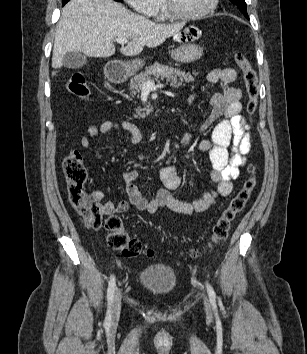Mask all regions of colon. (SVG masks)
<instances>
[{"label":"colon","mask_w":307,"mask_h":354,"mask_svg":"<svg viewBox=\"0 0 307 354\" xmlns=\"http://www.w3.org/2000/svg\"><path fill=\"white\" fill-rule=\"evenodd\" d=\"M235 60L243 73L247 96L246 110L252 116L257 108L259 93L257 74L242 52L235 54ZM67 89L72 95L82 99L87 98L90 94L88 81L81 73H75L71 76L67 83ZM63 171L67 180L68 198L72 207L83 218L88 227H104L107 230V243L110 248L121 252L124 257H138L140 255L151 257L154 254L151 248L143 247L140 241L131 238L125 232L120 217L109 215L105 205L87 192L85 187L87 171L79 151L73 150L65 157ZM255 172L256 167L251 164L248 168L249 176L244 180L239 191L214 224L210 235V245L221 243L227 239L232 222L244 208L255 187ZM106 215L109 216L105 218ZM192 255L196 256L197 252H192Z\"/></svg>","instance_id":"5ec220e1"}]
</instances>
